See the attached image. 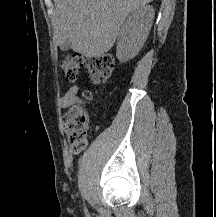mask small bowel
Wrapping results in <instances>:
<instances>
[{
  "mask_svg": "<svg viewBox=\"0 0 216 217\" xmlns=\"http://www.w3.org/2000/svg\"><path fill=\"white\" fill-rule=\"evenodd\" d=\"M78 92L79 87L72 86L60 98V107L62 109L68 110L66 117L74 106L83 104L82 100L77 96Z\"/></svg>",
  "mask_w": 216,
  "mask_h": 217,
  "instance_id": "small-bowel-1",
  "label": "small bowel"
}]
</instances>
